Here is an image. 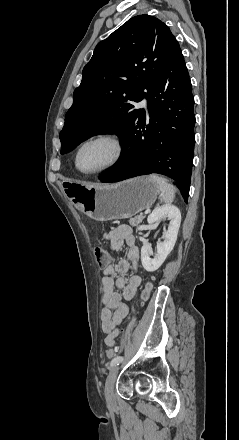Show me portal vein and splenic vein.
<instances>
[{"instance_id":"obj_1","label":"portal vein and splenic vein","mask_w":239,"mask_h":440,"mask_svg":"<svg viewBox=\"0 0 239 440\" xmlns=\"http://www.w3.org/2000/svg\"><path fill=\"white\" fill-rule=\"evenodd\" d=\"M149 211H150V209L148 208V209H146L145 210V214L147 215L148 213H149Z\"/></svg>"}]
</instances>
